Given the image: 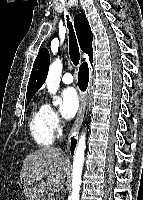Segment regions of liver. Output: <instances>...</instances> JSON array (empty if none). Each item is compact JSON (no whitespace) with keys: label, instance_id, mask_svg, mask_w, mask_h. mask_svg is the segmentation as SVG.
Wrapping results in <instances>:
<instances>
[{"label":"liver","instance_id":"6515ba94","mask_svg":"<svg viewBox=\"0 0 143 200\" xmlns=\"http://www.w3.org/2000/svg\"><path fill=\"white\" fill-rule=\"evenodd\" d=\"M68 164L60 148L44 147L29 153L20 172L26 200H42L48 191H61ZM44 171H48L46 176ZM43 177L47 180L43 181Z\"/></svg>","mask_w":143,"mask_h":200}]
</instances>
